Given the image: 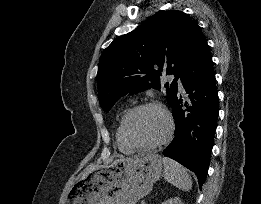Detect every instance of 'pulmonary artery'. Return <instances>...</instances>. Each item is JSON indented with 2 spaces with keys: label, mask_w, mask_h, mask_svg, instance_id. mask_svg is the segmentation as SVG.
I'll list each match as a JSON object with an SVG mask.
<instances>
[{
  "label": "pulmonary artery",
  "mask_w": 261,
  "mask_h": 204,
  "mask_svg": "<svg viewBox=\"0 0 261 204\" xmlns=\"http://www.w3.org/2000/svg\"><path fill=\"white\" fill-rule=\"evenodd\" d=\"M173 78H174V77H173ZM177 85H178L179 90H180L181 92H183V91H184V88H183L182 82H181V80H180L179 78L177 79Z\"/></svg>",
  "instance_id": "obj_1"
}]
</instances>
